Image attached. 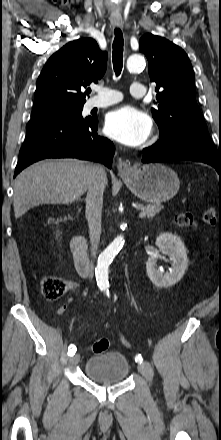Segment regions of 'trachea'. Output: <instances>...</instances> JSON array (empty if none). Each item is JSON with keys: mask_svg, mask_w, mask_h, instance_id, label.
Returning <instances> with one entry per match:
<instances>
[{"mask_svg": "<svg viewBox=\"0 0 221 440\" xmlns=\"http://www.w3.org/2000/svg\"><path fill=\"white\" fill-rule=\"evenodd\" d=\"M115 38L113 41V52H112V60H113V68L116 76H119L123 66V34L120 29H115Z\"/></svg>", "mask_w": 221, "mask_h": 440, "instance_id": "obj_1", "label": "trachea"}]
</instances>
